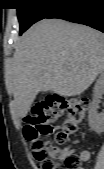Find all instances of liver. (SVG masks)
Here are the masks:
<instances>
[{"label":"liver","instance_id":"6515ba94","mask_svg":"<svg viewBox=\"0 0 104 169\" xmlns=\"http://www.w3.org/2000/svg\"><path fill=\"white\" fill-rule=\"evenodd\" d=\"M104 69V35L62 19H44L20 38L7 84L21 117L39 92L83 93Z\"/></svg>","mask_w":104,"mask_h":169}]
</instances>
